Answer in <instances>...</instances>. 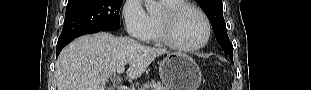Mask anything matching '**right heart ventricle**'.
<instances>
[{"label": "right heart ventricle", "instance_id": "e07e8e85", "mask_svg": "<svg viewBox=\"0 0 311 90\" xmlns=\"http://www.w3.org/2000/svg\"><path fill=\"white\" fill-rule=\"evenodd\" d=\"M163 6L165 9L172 8L176 5H179L182 3L180 0H163L162 1ZM159 16L151 14L149 15V20H150V31L147 37V41L154 42L157 44H161V37H160V32H159V21H158Z\"/></svg>", "mask_w": 311, "mask_h": 90}]
</instances>
